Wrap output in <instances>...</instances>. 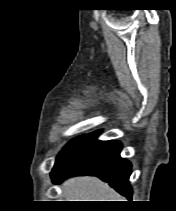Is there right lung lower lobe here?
I'll use <instances>...</instances> for the list:
<instances>
[{
  "label": "right lung lower lobe",
  "instance_id": "1",
  "mask_svg": "<svg viewBox=\"0 0 176 211\" xmlns=\"http://www.w3.org/2000/svg\"><path fill=\"white\" fill-rule=\"evenodd\" d=\"M100 131L88 134L70 147L55 163L51 172L54 183L75 175L98 176L120 194L131 199V164L120 157L121 143L100 141Z\"/></svg>",
  "mask_w": 176,
  "mask_h": 211
}]
</instances>
